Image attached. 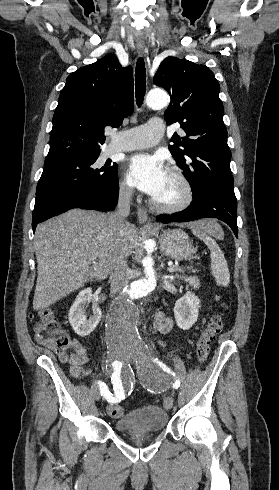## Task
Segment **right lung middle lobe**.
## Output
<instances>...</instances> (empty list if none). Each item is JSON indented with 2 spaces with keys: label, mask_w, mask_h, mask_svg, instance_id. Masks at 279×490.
<instances>
[{
  "label": "right lung middle lobe",
  "mask_w": 279,
  "mask_h": 490,
  "mask_svg": "<svg viewBox=\"0 0 279 490\" xmlns=\"http://www.w3.org/2000/svg\"><path fill=\"white\" fill-rule=\"evenodd\" d=\"M100 152L81 157L65 158L44 163L36 194L46 189L106 187L117 183V164L107 160L101 165Z\"/></svg>",
  "instance_id": "dd1d6c3e"
}]
</instances>
